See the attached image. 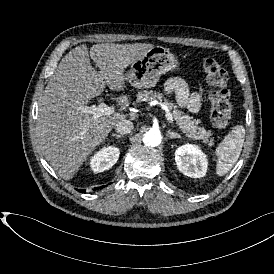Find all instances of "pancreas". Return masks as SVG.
Instances as JSON below:
<instances>
[{
	"mask_svg": "<svg viewBox=\"0 0 274 274\" xmlns=\"http://www.w3.org/2000/svg\"><path fill=\"white\" fill-rule=\"evenodd\" d=\"M163 97L164 96L161 93H156L152 90H144L138 92L137 102H151L155 99H162ZM163 100L164 104L170 110H173L172 113L176 124L187 137L193 140H202L203 143H207L209 146L214 145V139L211 137V130H206L205 128L198 126L199 120H194L189 115H186L184 112L178 110L177 107L168 99L164 98Z\"/></svg>",
	"mask_w": 274,
	"mask_h": 274,
	"instance_id": "pancreas-1",
	"label": "pancreas"
}]
</instances>
